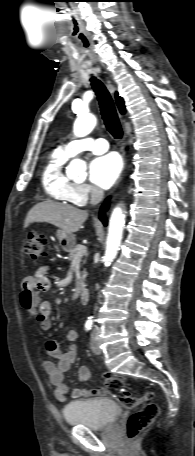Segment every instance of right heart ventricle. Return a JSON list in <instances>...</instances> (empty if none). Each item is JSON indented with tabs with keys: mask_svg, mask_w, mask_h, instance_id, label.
<instances>
[{
	"mask_svg": "<svg viewBox=\"0 0 195 456\" xmlns=\"http://www.w3.org/2000/svg\"><path fill=\"white\" fill-rule=\"evenodd\" d=\"M69 156L61 149H56L45 164L41 183L45 193L54 200L71 202L70 190L73 185L63 172V166Z\"/></svg>",
	"mask_w": 195,
	"mask_h": 456,
	"instance_id": "1",
	"label": "right heart ventricle"
}]
</instances>
